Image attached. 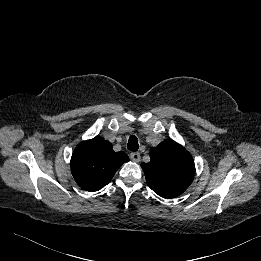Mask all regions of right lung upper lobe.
Returning <instances> with one entry per match:
<instances>
[{
    "mask_svg": "<svg viewBox=\"0 0 261 261\" xmlns=\"http://www.w3.org/2000/svg\"><path fill=\"white\" fill-rule=\"evenodd\" d=\"M129 161L126 153L115 152L102 137L81 142L71 158V171L77 184L86 191H98L107 185L118 168Z\"/></svg>",
    "mask_w": 261,
    "mask_h": 261,
    "instance_id": "1",
    "label": "right lung upper lobe"
}]
</instances>
